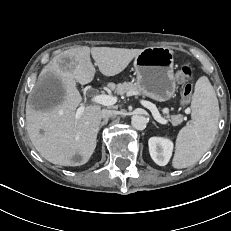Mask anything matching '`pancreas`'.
I'll list each match as a JSON object with an SVG mask.
<instances>
[{
    "label": "pancreas",
    "instance_id": "obj_1",
    "mask_svg": "<svg viewBox=\"0 0 231 231\" xmlns=\"http://www.w3.org/2000/svg\"><path fill=\"white\" fill-rule=\"evenodd\" d=\"M112 89L114 90L115 93L121 96L124 94L136 95L140 91L136 86V84H133L132 82L119 83L115 86H112ZM181 120L182 118L179 115L171 117V121L173 125H178L181 122Z\"/></svg>",
    "mask_w": 231,
    "mask_h": 231
}]
</instances>
